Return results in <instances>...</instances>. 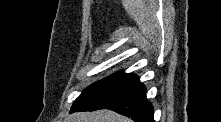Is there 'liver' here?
<instances>
[{"label": "liver", "mask_w": 221, "mask_h": 122, "mask_svg": "<svg viewBox=\"0 0 221 122\" xmlns=\"http://www.w3.org/2000/svg\"><path fill=\"white\" fill-rule=\"evenodd\" d=\"M66 122H131V119L111 110L78 112L68 116Z\"/></svg>", "instance_id": "1"}]
</instances>
